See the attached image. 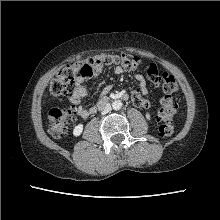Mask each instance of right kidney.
<instances>
[{"instance_id": "ca27d5eb", "label": "right kidney", "mask_w": 220, "mask_h": 220, "mask_svg": "<svg viewBox=\"0 0 220 220\" xmlns=\"http://www.w3.org/2000/svg\"><path fill=\"white\" fill-rule=\"evenodd\" d=\"M83 131V124H78L77 126L74 127L73 129V135L75 137L80 136Z\"/></svg>"}]
</instances>
